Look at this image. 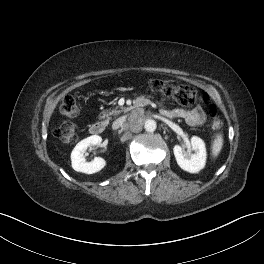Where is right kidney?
<instances>
[{
  "mask_svg": "<svg viewBox=\"0 0 264 264\" xmlns=\"http://www.w3.org/2000/svg\"><path fill=\"white\" fill-rule=\"evenodd\" d=\"M102 138L98 135H92L80 141L71 153L72 167L77 172L85 174H93L102 170L106 161L101 157H96L91 162H87L85 159V152L88 147L99 145Z\"/></svg>",
  "mask_w": 264,
  "mask_h": 264,
  "instance_id": "1",
  "label": "right kidney"
}]
</instances>
